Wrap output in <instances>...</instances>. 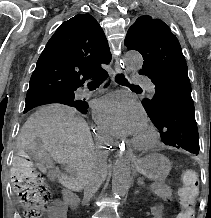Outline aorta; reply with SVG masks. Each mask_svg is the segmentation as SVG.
<instances>
[{"mask_svg": "<svg viewBox=\"0 0 211 218\" xmlns=\"http://www.w3.org/2000/svg\"><path fill=\"white\" fill-rule=\"evenodd\" d=\"M125 63L131 70H139L143 65L142 56L135 51L127 52ZM132 151L130 149L119 154L112 174V193L117 198L124 197L131 185Z\"/></svg>", "mask_w": 211, "mask_h": 218, "instance_id": "aorta-1", "label": "aorta"}]
</instances>
